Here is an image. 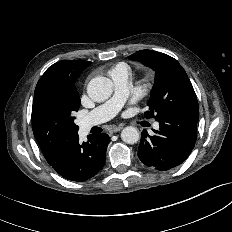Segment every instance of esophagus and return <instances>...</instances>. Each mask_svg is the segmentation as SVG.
<instances>
[{
	"label": "esophagus",
	"instance_id": "34e87169",
	"mask_svg": "<svg viewBox=\"0 0 232 232\" xmlns=\"http://www.w3.org/2000/svg\"><path fill=\"white\" fill-rule=\"evenodd\" d=\"M122 129H123V125L113 126V127L110 128L109 132L110 133H116V132H119Z\"/></svg>",
	"mask_w": 232,
	"mask_h": 232
}]
</instances>
